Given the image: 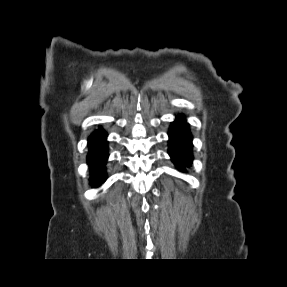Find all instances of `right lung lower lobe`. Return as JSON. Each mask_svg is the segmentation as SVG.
<instances>
[{
    "label": "right lung lower lobe",
    "instance_id": "right-lung-lower-lobe-1",
    "mask_svg": "<svg viewBox=\"0 0 287 287\" xmlns=\"http://www.w3.org/2000/svg\"><path fill=\"white\" fill-rule=\"evenodd\" d=\"M107 133L99 128L91 134L88 140L89 153L87 163L90 169V183L100 186L106 180L105 164L108 158Z\"/></svg>",
    "mask_w": 287,
    "mask_h": 287
}]
</instances>
